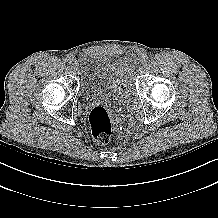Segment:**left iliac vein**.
Wrapping results in <instances>:
<instances>
[{
  "instance_id": "1",
  "label": "left iliac vein",
  "mask_w": 218,
  "mask_h": 218,
  "mask_svg": "<svg viewBox=\"0 0 218 218\" xmlns=\"http://www.w3.org/2000/svg\"><path fill=\"white\" fill-rule=\"evenodd\" d=\"M140 63H141V62H137V64L134 63V64L132 65L133 68H134V69H137V68L139 67V64H140ZM142 63H143V62H142Z\"/></svg>"
}]
</instances>
